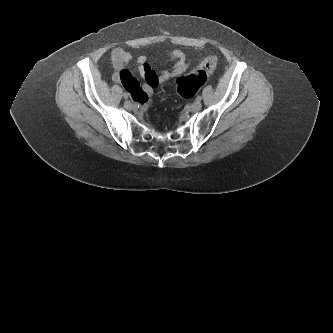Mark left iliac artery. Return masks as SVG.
<instances>
[{
	"label": "left iliac artery",
	"mask_w": 333,
	"mask_h": 333,
	"mask_svg": "<svg viewBox=\"0 0 333 333\" xmlns=\"http://www.w3.org/2000/svg\"><path fill=\"white\" fill-rule=\"evenodd\" d=\"M202 97L201 96H197L196 101H201Z\"/></svg>",
	"instance_id": "left-iliac-artery-1"
}]
</instances>
